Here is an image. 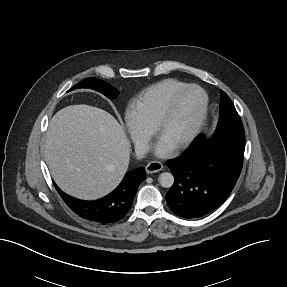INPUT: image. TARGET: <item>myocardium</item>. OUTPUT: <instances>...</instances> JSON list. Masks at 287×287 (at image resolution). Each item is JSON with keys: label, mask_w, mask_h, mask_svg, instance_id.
I'll list each match as a JSON object with an SVG mask.
<instances>
[{"label": "myocardium", "mask_w": 287, "mask_h": 287, "mask_svg": "<svg viewBox=\"0 0 287 287\" xmlns=\"http://www.w3.org/2000/svg\"><path fill=\"white\" fill-rule=\"evenodd\" d=\"M191 90H197L202 95V105H201L200 114H199L198 120L196 121L195 125L190 130V132L178 144L170 147L172 151H180L186 148L187 146H189L192 143V141L198 136L200 131L202 130L206 122L207 114H208L209 101H208V96L206 92L200 86L194 85V84L186 85L185 87L176 91L170 97L166 107L164 108L160 118L158 119L154 127L155 137L160 140L161 133L164 127L166 126L167 122L169 121L171 115L173 114L177 101L183 94Z\"/></svg>", "instance_id": "myocardium-1"}]
</instances>
